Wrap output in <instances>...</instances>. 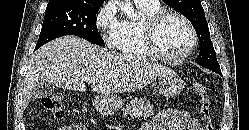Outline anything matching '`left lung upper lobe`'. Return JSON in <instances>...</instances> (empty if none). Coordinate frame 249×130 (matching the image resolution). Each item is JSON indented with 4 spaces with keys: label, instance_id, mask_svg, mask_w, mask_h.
<instances>
[{
    "label": "left lung upper lobe",
    "instance_id": "5c2ea615",
    "mask_svg": "<svg viewBox=\"0 0 249 130\" xmlns=\"http://www.w3.org/2000/svg\"><path fill=\"white\" fill-rule=\"evenodd\" d=\"M164 2L184 14L192 23L200 42V52L196 63L220 73V66L216 59V53L210 39L208 23L200 0H164Z\"/></svg>",
    "mask_w": 249,
    "mask_h": 130
}]
</instances>
